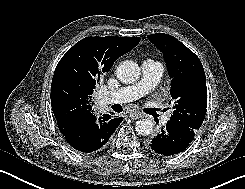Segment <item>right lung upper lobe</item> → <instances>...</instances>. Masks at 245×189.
Here are the masks:
<instances>
[{"mask_svg": "<svg viewBox=\"0 0 245 189\" xmlns=\"http://www.w3.org/2000/svg\"><path fill=\"white\" fill-rule=\"evenodd\" d=\"M139 41V37H87L61 58L51 83V105L62 134L90 122L96 82Z\"/></svg>", "mask_w": 245, "mask_h": 189, "instance_id": "1", "label": "right lung upper lobe"}]
</instances>
